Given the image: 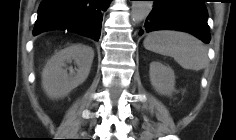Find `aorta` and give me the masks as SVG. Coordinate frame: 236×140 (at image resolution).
<instances>
[{
  "mask_svg": "<svg viewBox=\"0 0 236 140\" xmlns=\"http://www.w3.org/2000/svg\"><path fill=\"white\" fill-rule=\"evenodd\" d=\"M152 1H133L131 9V19L134 23H139L150 13Z\"/></svg>",
  "mask_w": 236,
  "mask_h": 140,
  "instance_id": "1",
  "label": "aorta"
}]
</instances>
